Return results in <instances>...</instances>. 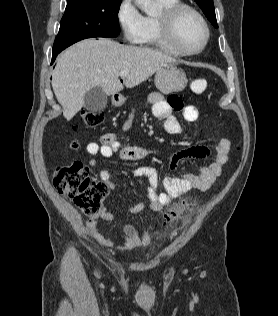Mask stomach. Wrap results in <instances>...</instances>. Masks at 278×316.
<instances>
[{
    "label": "stomach",
    "mask_w": 278,
    "mask_h": 316,
    "mask_svg": "<svg viewBox=\"0 0 278 316\" xmlns=\"http://www.w3.org/2000/svg\"><path fill=\"white\" fill-rule=\"evenodd\" d=\"M187 77L183 70L176 67L174 63H168L160 67L155 74V85L163 94L182 91L187 85ZM125 98L118 96L113 99L115 106H121Z\"/></svg>",
    "instance_id": "1"
}]
</instances>
